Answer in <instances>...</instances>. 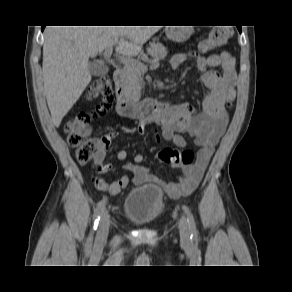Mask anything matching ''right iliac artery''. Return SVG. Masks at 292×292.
<instances>
[{"instance_id":"82829eb1","label":"right iliac artery","mask_w":292,"mask_h":292,"mask_svg":"<svg viewBox=\"0 0 292 292\" xmlns=\"http://www.w3.org/2000/svg\"><path fill=\"white\" fill-rule=\"evenodd\" d=\"M107 202V198L104 197L98 204L97 208L95 209L94 211V215H93V220H94V226H93V229H92V233H91V236L93 234V232L97 229V226H98V223H99V220L102 216V213L104 211V208H105V204Z\"/></svg>"}]
</instances>
